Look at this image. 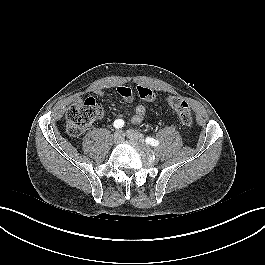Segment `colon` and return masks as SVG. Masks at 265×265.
<instances>
[{
    "label": "colon",
    "mask_w": 265,
    "mask_h": 265,
    "mask_svg": "<svg viewBox=\"0 0 265 265\" xmlns=\"http://www.w3.org/2000/svg\"><path fill=\"white\" fill-rule=\"evenodd\" d=\"M137 95L144 101H153L155 93L150 88L139 85L136 87ZM168 105L176 112L180 122L189 126L192 124V112L190 105L178 96L167 98ZM101 105L94 99H88L81 104L71 106L66 113L67 131L71 136L81 135L86 127L102 116Z\"/></svg>",
    "instance_id": "1"
}]
</instances>
